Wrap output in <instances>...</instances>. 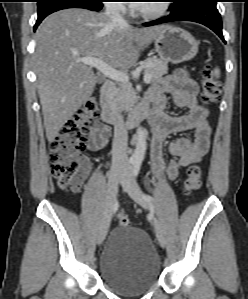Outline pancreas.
<instances>
[{
	"mask_svg": "<svg viewBox=\"0 0 248 299\" xmlns=\"http://www.w3.org/2000/svg\"><path fill=\"white\" fill-rule=\"evenodd\" d=\"M144 73H148L151 79H156L167 74V63L161 59L149 57L143 62ZM110 105L129 111L137 101L136 93L131 84L121 83L115 85L109 95Z\"/></svg>",
	"mask_w": 248,
	"mask_h": 299,
	"instance_id": "obj_1",
	"label": "pancreas"
}]
</instances>
